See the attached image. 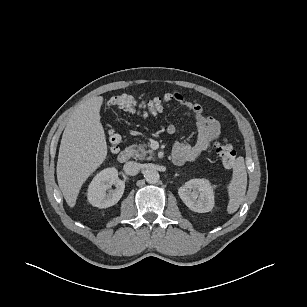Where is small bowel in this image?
I'll use <instances>...</instances> for the list:
<instances>
[{"mask_svg":"<svg viewBox=\"0 0 307 307\" xmlns=\"http://www.w3.org/2000/svg\"><path fill=\"white\" fill-rule=\"evenodd\" d=\"M170 96L183 107L188 115H193L196 120L197 140L195 144L191 146L183 142H176L173 146V162L181 165L187 161L197 159L206 152L210 147V143L219 137L221 127L217 119L203 115L202 106L195 100H187L178 92L170 93ZM166 131L168 134H174L176 132L175 125L169 124L166 127ZM112 152L115 153L116 151Z\"/></svg>","mask_w":307,"mask_h":307,"instance_id":"1","label":"small bowel"}]
</instances>
